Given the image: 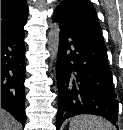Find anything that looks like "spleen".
Instances as JSON below:
<instances>
[{
    "instance_id": "spleen-1",
    "label": "spleen",
    "mask_w": 123,
    "mask_h": 130,
    "mask_svg": "<svg viewBox=\"0 0 123 130\" xmlns=\"http://www.w3.org/2000/svg\"><path fill=\"white\" fill-rule=\"evenodd\" d=\"M69 130H113V125L100 116L78 115L70 119Z\"/></svg>"
}]
</instances>
